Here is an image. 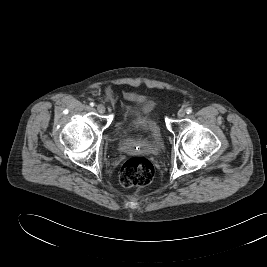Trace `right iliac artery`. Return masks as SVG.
<instances>
[{
    "label": "right iliac artery",
    "mask_w": 267,
    "mask_h": 267,
    "mask_svg": "<svg viewBox=\"0 0 267 267\" xmlns=\"http://www.w3.org/2000/svg\"><path fill=\"white\" fill-rule=\"evenodd\" d=\"M90 106H91V107H94V106H95V103L91 102V103H90Z\"/></svg>",
    "instance_id": "right-iliac-artery-1"
}]
</instances>
